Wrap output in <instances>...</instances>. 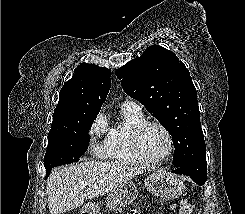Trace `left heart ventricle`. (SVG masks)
Listing matches in <instances>:
<instances>
[{
  "label": "left heart ventricle",
  "instance_id": "obj_1",
  "mask_svg": "<svg viewBox=\"0 0 245 214\" xmlns=\"http://www.w3.org/2000/svg\"><path fill=\"white\" fill-rule=\"evenodd\" d=\"M140 144L143 154L149 159L161 157L168 147L166 135L154 126L145 129L142 133Z\"/></svg>",
  "mask_w": 245,
  "mask_h": 214
}]
</instances>
